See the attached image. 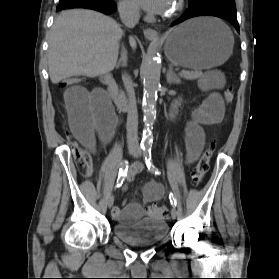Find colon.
Listing matches in <instances>:
<instances>
[{
	"mask_svg": "<svg viewBox=\"0 0 279 279\" xmlns=\"http://www.w3.org/2000/svg\"><path fill=\"white\" fill-rule=\"evenodd\" d=\"M84 80L83 77H69L64 80H62L59 85L62 88H67V87H73L77 86ZM235 96L234 90L232 86H228L225 90L224 93V98L227 103H230L233 101ZM215 148V141L211 140L208 142L204 152L196 162L193 171H192V183L193 185L197 186L199 185L205 174L207 173L209 169V163L210 159L213 155ZM73 155L74 159L76 162V165L80 168H90L92 166V158L90 153L79 147V146H74L73 147ZM147 213L149 216L156 218V219H164L168 216V210L165 207L157 206V205H149L147 207Z\"/></svg>",
	"mask_w": 279,
	"mask_h": 279,
	"instance_id": "1",
	"label": "colon"
}]
</instances>
